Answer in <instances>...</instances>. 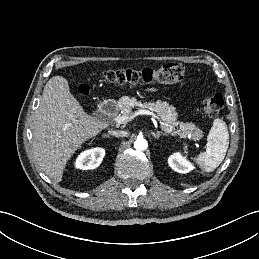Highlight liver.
<instances>
[{"instance_id":"1","label":"liver","mask_w":259,"mask_h":259,"mask_svg":"<svg viewBox=\"0 0 259 259\" xmlns=\"http://www.w3.org/2000/svg\"><path fill=\"white\" fill-rule=\"evenodd\" d=\"M108 126L83 110L64 77L53 76L44 87L32 124L33 154L40 169L61 182L75 151Z\"/></svg>"}]
</instances>
